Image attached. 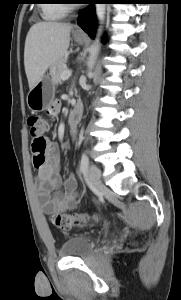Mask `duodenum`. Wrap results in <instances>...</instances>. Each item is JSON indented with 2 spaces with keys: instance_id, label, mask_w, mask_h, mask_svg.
<instances>
[{
  "instance_id": "duodenum-1",
  "label": "duodenum",
  "mask_w": 181,
  "mask_h": 300,
  "mask_svg": "<svg viewBox=\"0 0 181 300\" xmlns=\"http://www.w3.org/2000/svg\"><path fill=\"white\" fill-rule=\"evenodd\" d=\"M81 114H82V105L79 101H77L73 106L69 117V126L72 131H74L77 128Z\"/></svg>"
}]
</instances>
